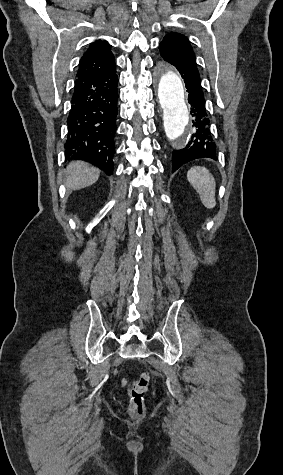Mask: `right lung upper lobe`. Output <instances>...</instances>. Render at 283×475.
Listing matches in <instances>:
<instances>
[{
    "instance_id": "1",
    "label": "right lung upper lobe",
    "mask_w": 283,
    "mask_h": 475,
    "mask_svg": "<svg viewBox=\"0 0 283 475\" xmlns=\"http://www.w3.org/2000/svg\"><path fill=\"white\" fill-rule=\"evenodd\" d=\"M116 67L110 45L98 40L82 56L76 77L106 73Z\"/></svg>"
}]
</instances>
